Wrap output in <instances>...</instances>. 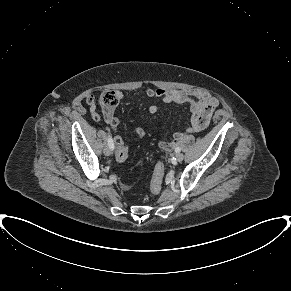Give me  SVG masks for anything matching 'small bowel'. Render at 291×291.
I'll return each mask as SVG.
<instances>
[{
  "label": "small bowel",
  "instance_id": "obj_1",
  "mask_svg": "<svg viewBox=\"0 0 291 291\" xmlns=\"http://www.w3.org/2000/svg\"><path fill=\"white\" fill-rule=\"evenodd\" d=\"M119 98L123 97V94L117 93ZM146 95L148 97L161 98L165 103H177V104H189L190 110L192 112V117L189 126L186 131L188 133H196L204 130L209 122L214 109L218 106V100L211 94L200 91V90H168L163 88H148L146 90ZM86 103L89 106L91 116L94 120L99 119V114L95 108V99L92 95L86 98ZM159 111V107L152 104L149 107V112L155 114ZM104 119L107 126L112 130L116 131L119 125L118 118L114 115L113 111L105 110ZM137 132L141 135L144 134L142 128L138 127ZM183 133H174L172 140H165L159 143L160 147L165 150L173 149L178 142L182 139ZM114 142L118 148L125 145L124 140L119 136H114ZM124 189H128L127 185L123 186Z\"/></svg>",
  "mask_w": 291,
  "mask_h": 291
}]
</instances>
